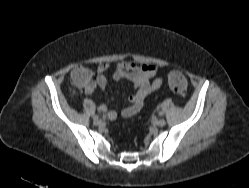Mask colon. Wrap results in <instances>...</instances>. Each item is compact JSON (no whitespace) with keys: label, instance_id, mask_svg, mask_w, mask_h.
<instances>
[{"label":"colon","instance_id":"obj_1","mask_svg":"<svg viewBox=\"0 0 249 188\" xmlns=\"http://www.w3.org/2000/svg\"><path fill=\"white\" fill-rule=\"evenodd\" d=\"M77 80L81 79V74L76 76ZM167 82L169 87L178 94H184L187 90V80L186 77L178 71H171L167 75Z\"/></svg>","mask_w":249,"mask_h":188}]
</instances>
